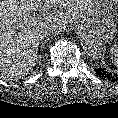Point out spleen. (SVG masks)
<instances>
[{"mask_svg": "<svg viewBox=\"0 0 118 118\" xmlns=\"http://www.w3.org/2000/svg\"><path fill=\"white\" fill-rule=\"evenodd\" d=\"M112 63L118 68V45L114 44L110 47Z\"/></svg>", "mask_w": 118, "mask_h": 118, "instance_id": "3e777b00", "label": "spleen"}]
</instances>
